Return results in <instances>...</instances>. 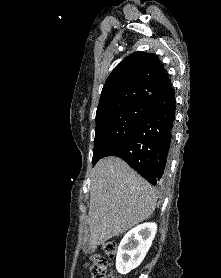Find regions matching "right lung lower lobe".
Masks as SVG:
<instances>
[{"mask_svg":"<svg viewBox=\"0 0 221 278\" xmlns=\"http://www.w3.org/2000/svg\"><path fill=\"white\" fill-rule=\"evenodd\" d=\"M150 112L126 136L113 144L101 158L117 156L156 185L165 176L175 119L172 87L147 99Z\"/></svg>","mask_w":221,"mask_h":278,"instance_id":"98d812e1","label":"right lung lower lobe"}]
</instances>
